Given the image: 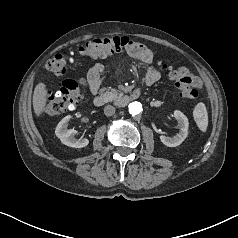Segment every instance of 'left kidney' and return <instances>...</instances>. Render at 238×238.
Returning a JSON list of instances; mask_svg holds the SVG:
<instances>
[{"label": "left kidney", "mask_w": 238, "mask_h": 238, "mask_svg": "<svg viewBox=\"0 0 238 238\" xmlns=\"http://www.w3.org/2000/svg\"><path fill=\"white\" fill-rule=\"evenodd\" d=\"M174 118L178 122V126L180 127V132L174 137H166L164 135L160 136L161 142L167 147H176L179 146L185 138L188 136V118L181 111H174Z\"/></svg>", "instance_id": "1"}]
</instances>
